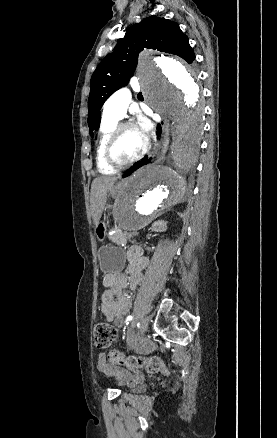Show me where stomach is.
I'll return each instance as SVG.
<instances>
[{
	"mask_svg": "<svg viewBox=\"0 0 277 438\" xmlns=\"http://www.w3.org/2000/svg\"><path fill=\"white\" fill-rule=\"evenodd\" d=\"M110 193L113 196H116L119 193V188L113 186L110 190ZM106 231L107 222L99 221V223L96 225V235L99 240L103 241L105 239ZM98 259L100 262V268L105 274L121 271L125 262L123 250L109 245H104L99 249Z\"/></svg>",
	"mask_w": 277,
	"mask_h": 438,
	"instance_id": "stomach-1",
	"label": "stomach"
}]
</instances>
